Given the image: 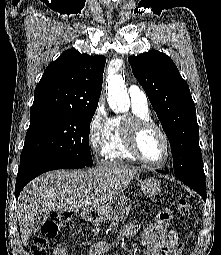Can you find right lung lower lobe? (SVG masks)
Here are the masks:
<instances>
[{
	"label": "right lung lower lobe",
	"instance_id": "1",
	"mask_svg": "<svg viewBox=\"0 0 221 255\" xmlns=\"http://www.w3.org/2000/svg\"><path fill=\"white\" fill-rule=\"evenodd\" d=\"M85 165L64 163L43 159H25L20 162V167L16 179V198H18L23 187L38 175L55 169H77L84 168Z\"/></svg>",
	"mask_w": 221,
	"mask_h": 255
}]
</instances>
